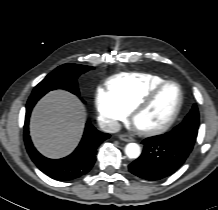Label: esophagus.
<instances>
[{
	"label": "esophagus",
	"instance_id": "1",
	"mask_svg": "<svg viewBox=\"0 0 218 210\" xmlns=\"http://www.w3.org/2000/svg\"><path fill=\"white\" fill-rule=\"evenodd\" d=\"M120 140L125 141V142H131L133 141V138L127 134H121L119 135Z\"/></svg>",
	"mask_w": 218,
	"mask_h": 210
}]
</instances>
